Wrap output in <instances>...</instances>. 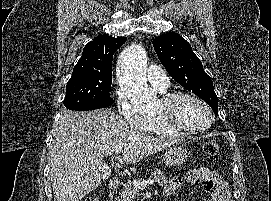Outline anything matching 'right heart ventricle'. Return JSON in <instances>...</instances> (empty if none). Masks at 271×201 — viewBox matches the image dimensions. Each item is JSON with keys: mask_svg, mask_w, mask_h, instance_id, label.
<instances>
[{"mask_svg": "<svg viewBox=\"0 0 271 201\" xmlns=\"http://www.w3.org/2000/svg\"><path fill=\"white\" fill-rule=\"evenodd\" d=\"M145 132L163 137H179L184 135H178L172 133L167 128H165L156 117H150L149 122L146 127L143 128Z\"/></svg>", "mask_w": 271, "mask_h": 201, "instance_id": "e07e8e85", "label": "right heart ventricle"}]
</instances>
